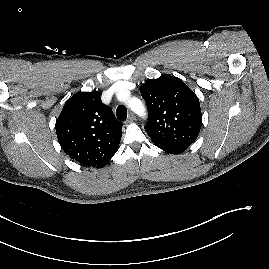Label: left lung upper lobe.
<instances>
[{
	"label": "left lung upper lobe",
	"mask_w": 269,
	"mask_h": 269,
	"mask_svg": "<svg viewBox=\"0 0 269 269\" xmlns=\"http://www.w3.org/2000/svg\"><path fill=\"white\" fill-rule=\"evenodd\" d=\"M148 108L145 130L153 143L192 144L202 124L199 99L179 78L163 75L140 86Z\"/></svg>",
	"instance_id": "5c2ea615"
}]
</instances>
